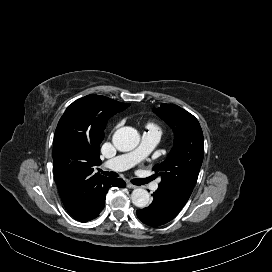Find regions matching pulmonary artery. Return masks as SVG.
Returning <instances> with one entry per match:
<instances>
[{
    "mask_svg": "<svg viewBox=\"0 0 272 272\" xmlns=\"http://www.w3.org/2000/svg\"><path fill=\"white\" fill-rule=\"evenodd\" d=\"M161 139V133L157 129L148 128L142 136L140 145L132 152L119 155L106 162V167L113 170H126L144 158H146L156 147ZM157 188V184L153 185V189Z\"/></svg>",
    "mask_w": 272,
    "mask_h": 272,
    "instance_id": "1",
    "label": "pulmonary artery"
}]
</instances>
